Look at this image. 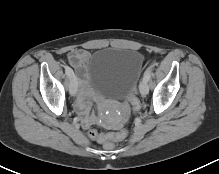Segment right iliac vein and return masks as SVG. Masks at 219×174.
<instances>
[{"label":"right iliac vein","instance_id":"63e3f726","mask_svg":"<svg viewBox=\"0 0 219 174\" xmlns=\"http://www.w3.org/2000/svg\"><path fill=\"white\" fill-rule=\"evenodd\" d=\"M77 86H78L77 77L74 74H72L69 81V93L71 96H74L76 94Z\"/></svg>","mask_w":219,"mask_h":174}]
</instances>
